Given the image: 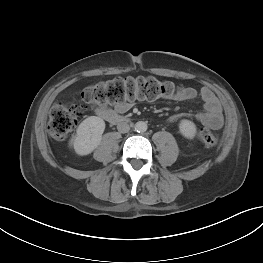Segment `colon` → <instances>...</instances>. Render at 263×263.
<instances>
[{"mask_svg": "<svg viewBox=\"0 0 263 263\" xmlns=\"http://www.w3.org/2000/svg\"><path fill=\"white\" fill-rule=\"evenodd\" d=\"M181 90L180 86L171 81H160L154 77H126L91 85L83 90L82 98L90 104L120 105L134 100L172 98ZM80 116V108L75 105H55L48 123L50 135L55 139L65 138L76 127ZM198 136L207 146L218 143V135L208 127L200 128Z\"/></svg>", "mask_w": 263, "mask_h": 263, "instance_id": "1", "label": "colon"}]
</instances>
